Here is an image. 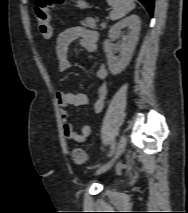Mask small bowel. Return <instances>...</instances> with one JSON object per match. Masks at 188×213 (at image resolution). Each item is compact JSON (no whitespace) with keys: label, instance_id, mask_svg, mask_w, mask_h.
Here are the masks:
<instances>
[{"label":"small bowel","instance_id":"small-bowel-1","mask_svg":"<svg viewBox=\"0 0 188 213\" xmlns=\"http://www.w3.org/2000/svg\"><path fill=\"white\" fill-rule=\"evenodd\" d=\"M77 40L80 41L81 46L88 52H95L97 49L98 36L95 31L82 26L67 28L60 33L55 47L58 68L61 72H65L70 68L68 51L70 45ZM96 76L99 83L96 90L94 111L100 113L105 107L109 93L107 83L108 71L104 64L96 66ZM56 99L61 107L60 115L65 138L80 143L85 142L92 132L91 126L84 125L80 132H78L69 121L67 108L70 106L85 105L87 103V96L83 93L60 90L56 92Z\"/></svg>","mask_w":188,"mask_h":213}]
</instances>
